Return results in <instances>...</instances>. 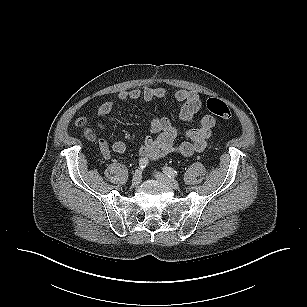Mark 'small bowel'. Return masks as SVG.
I'll return each instance as SVG.
<instances>
[{"mask_svg":"<svg viewBox=\"0 0 307 307\" xmlns=\"http://www.w3.org/2000/svg\"><path fill=\"white\" fill-rule=\"evenodd\" d=\"M167 91L162 87H145L144 89L133 88L122 90L118 93L121 102L142 99L151 102L155 99H165ZM176 102L181 104L180 118L184 122H192L195 115L201 110L203 102L201 97L193 91L178 90L174 94ZM114 103L111 101L101 104L97 111V127L101 133L106 131L105 119L113 110ZM216 125V119L212 115H204L199 120L197 128L189 129L185 136L186 140L176 143L177 129L166 117H154L150 127V135L146 136L139 149V155L145 159H160L168 154L175 153L182 156H191L196 152L203 151L211 137L212 130ZM98 145L105 158H109L113 152L124 153L126 144L123 141H115L111 145L105 139L100 138Z\"/></svg>","mask_w":307,"mask_h":307,"instance_id":"obj_1","label":"small bowel"}]
</instances>
